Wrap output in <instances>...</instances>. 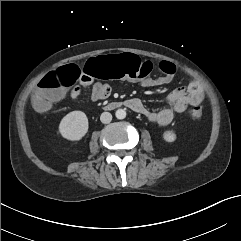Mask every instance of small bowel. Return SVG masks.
I'll return each instance as SVG.
<instances>
[{"instance_id": "obj_1", "label": "small bowel", "mask_w": 241, "mask_h": 241, "mask_svg": "<svg viewBox=\"0 0 241 241\" xmlns=\"http://www.w3.org/2000/svg\"><path fill=\"white\" fill-rule=\"evenodd\" d=\"M173 76L166 75L158 78H146L141 81L142 85L152 87L168 84ZM79 84L74 86L69 95L72 99L78 100L82 95V89L91 86L90 100L99 102L108 98L111 94V86L103 82L93 83L92 78L86 76L83 71L78 78ZM204 99V91L200 82L192 81L188 85L178 87L171 91L166 102L167 107L158 111H151L145 107L138 98H131L127 101L128 106L135 112L144 115L151 122L165 126L170 124L178 114L184 113L188 107H197Z\"/></svg>"}]
</instances>
